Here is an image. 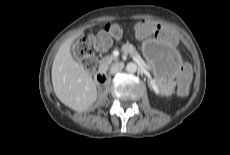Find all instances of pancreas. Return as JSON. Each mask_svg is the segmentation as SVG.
<instances>
[{"instance_id": "pancreas-1", "label": "pancreas", "mask_w": 230, "mask_h": 155, "mask_svg": "<svg viewBox=\"0 0 230 155\" xmlns=\"http://www.w3.org/2000/svg\"><path fill=\"white\" fill-rule=\"evenodd\" d=\"M122 49L123 51L129 53L131 56L140 60V55L138 54V52L136 51L134 47L129 48L128 45H126V46H123ZM115 61H117V58L114 57L113 55H109V56L104 57L101 60V63L110 64ZM162 92L166 96L171 95L174 92V83L173 82L168 83L166 86L162 88Z\"/></svg>"}]
</instances>
